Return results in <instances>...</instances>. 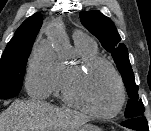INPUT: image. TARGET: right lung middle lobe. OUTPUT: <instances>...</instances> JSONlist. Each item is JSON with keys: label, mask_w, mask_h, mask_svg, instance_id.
Segmentation results:
<instances>
[{"label": "right lung middle lobe", "mask_w": 151, "mask_h": 131, "mask_svg": "<svg viewBox=\"0 0 151 131\" xmlns=\"http://www.w3.org/2000/svg\"><path fill=\"white\" fill-rule=\"evenodd\" d=\"M32 44L6 48L0 59V99L15 97L21 90Z\"/></svg>", "instance_id": "dd1d6c3e"}]
</instances>
